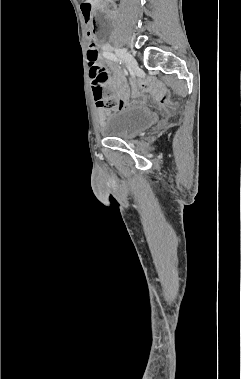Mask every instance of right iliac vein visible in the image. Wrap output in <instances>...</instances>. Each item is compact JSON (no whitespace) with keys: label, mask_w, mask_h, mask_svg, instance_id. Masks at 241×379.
I'll use <instances>...</instances> for the list:
<instances>
[{"label":"right iliac vein","mask_w":241,"mask_h":379,"mask_svg":"<svg viewBox=\"0 0 241 379\" xmlns=\"http://www.w3.org/2000/svg\"><path fill=\"white\" fill-rule=\"evenodd\" d=\"M116 54L126 62V64L129 66L130 69H132L134 72L138 70V64L136 60L132 57L130 53H128L123 48H114Z\"/></svg>","instance_id":"right-iliac-vein-1"}]
</instances>
